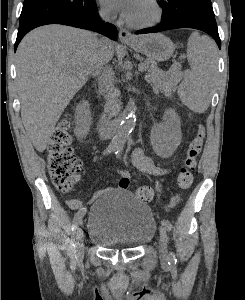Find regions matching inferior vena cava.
<instances>
[{
    "instance_id": "602c4592",
    "label": "inferior vena cava",
    "mask_w": 245,
    "mask_h": 300,
    "mask_svg": "<svg viewBox=\"0 0 245 300\" xmlns=\"http://www.w3.org/2000/svg\"><path fill=\"white\" fill-rule=\"evenodd\" d=\"M103 20L108 21L109 17L106 14H101ZM107 39H98L96 44L95 57L93 62V69L97 74H101L102 78L106 83V90L108 93L114 91L113 83L115 80V74L111 67L107 65V61L104 59V44Z\"/></svg>"
}]
</instances>
